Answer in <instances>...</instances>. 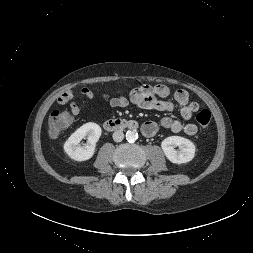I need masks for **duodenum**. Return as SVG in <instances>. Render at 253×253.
<instances>
[{"mask_svg":"<svg viewBox=\"0 0 253 253\" xmlns=\"http://www.w3.org/2000/svg\"><path fill=\"white\" fill-rule=\"evenodd\" d=\"M139 125L135 120H126V119H108L104 122V128L108 131L114 130H136Z\"/></svg>","mask_w":253,"mask_h":253,"instance_id":"obj_1","label":"duodenum"}]
</instances>
